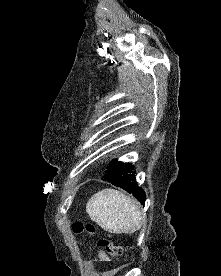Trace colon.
<instances>
[{
	"label": "colon",
	"instance_id": "obj_1",
	"mask_svg": "<svg viewBox=\"0 0 221 276\" xmlns=\"http://www.w3.org/2000/svg\"><path fill=\"white\" fill-rule=\"evenodd\" d=\"M72 230L76 234L86 233L88 235H93L95 233V227L90 223L84 224L82 222H75L72 225ZM97 246L105 250L113 258H118L122 253V248L113 244L107 238H100L97 241Z\"/></svg>",
	"mask_w": 221,
	"mask_h": 276
}]
</instances>
